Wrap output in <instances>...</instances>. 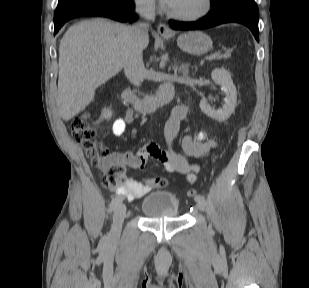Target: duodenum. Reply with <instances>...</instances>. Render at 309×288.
<instances>
[{"label": "duodenum", "mask_w": 309, "mask_h": 288, "mask_svg": "<svg viewBox=\"0 0 309 288\" xmlns=\"http://www.w3.org/2000/svg\"><path fill=\"white\" fill-rule=\"evenodd\" d=\"M174 97V90L170 84L162 86L159 92L147 99L140 100L129 90L122 91L123 100L141 112L155 111L172 101Z\"/></svg>", "instance_id": "410a0bca"}]
</instances>
